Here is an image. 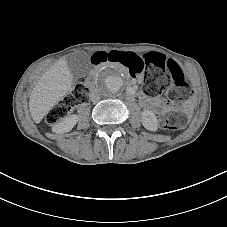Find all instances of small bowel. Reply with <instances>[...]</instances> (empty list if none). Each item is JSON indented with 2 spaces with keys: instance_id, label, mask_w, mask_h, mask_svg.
<instances>
[{
  "instance_id": "c3829d8e",
  "label": "small bowel",
  "mask_w": 227,
  "mask_h": 227,
  "mask_svg": "<svg viewBox=\"0 0 227 227\" xmlns=\"http://www.w3.org/2000/svg\"><path fill=\"white\" fill-rule=\"evenodd\" d=\"M154 53H156V52H154ZM156 54H159V55L165 57L164 55H162L160 53H156ZM111 64H114V63H111ZM114 65H117V64H114ZM146 107H148L150 110L157 112V113L165 112L168 110V106L166 105V103L159 99H147Z\"/></svg>"
}]
</instances>
